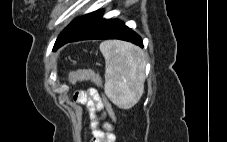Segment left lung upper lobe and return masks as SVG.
I'll use <instances>...</instances> for the list:
<instances>
[{
	"label": "left lung upper lobe",
	"instance_id": "left-lung-upper-lobe-1",
	"mask_svg": "<svg viewBox=\"0 0 227 142\" xmlns=\"http://www.w3.org/2000/svg\"><path fill=\"white\" fill-rule=\"evenodd\" d=\"M100 11H96L84 16H81L69 24L58 36L53 49H57L72 38L77 32L83 29L87 24H89Z\"/></svg>",
	"mask_w": 227,
	"mask_h": 142
}]
</instances>
